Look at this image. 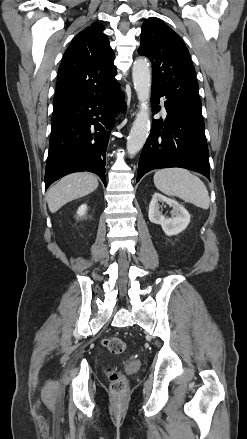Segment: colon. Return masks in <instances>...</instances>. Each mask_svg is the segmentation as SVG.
Segmentation results:
<instances>
[{"label":"colon","instance_id":"1","mask_svg":"<svg viewBox=\"0 0 247 439\" xmlns=\"http://www.w3.org/2000/svg\"><path fill=\"white\" fill-rule=\"evenodd\" d=\"M104 345L113 354H120L126 349V343L118 337H110L105 339ZM107 374L110 381V390L114 394L123 393L127 385L124 375L111 368L107 369Z\"/></svg>","mask_w":247,"mask_h":439}]
</instances>
